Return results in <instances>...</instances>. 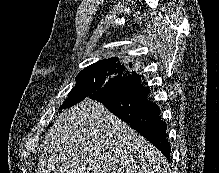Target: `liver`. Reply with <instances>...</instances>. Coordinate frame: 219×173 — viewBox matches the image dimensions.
Instances as JSON below:
<instances>
[{"mask_svg":"<svg viewBox=\"0 0 219 173\" xmlns=\"http://www.w3.org/2000/svg\"><path fill=\"white\" fill-rule=\"evenodd\" d=\"M166 164L150 142L85 99L54 122L37 173H163Z\"/></svg>","mask_w":219,"mask_h":173,"instance_id":"liver-1","label":"liver"}]
</instances>
